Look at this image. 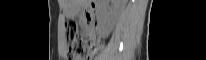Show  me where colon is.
<instances>
[{"label": "colon", "mask_w": 206, "mask_h": 60, "mask_svg": "<svg viewBox=\"0 0 206 60\" xmlns=\"http://www.w3.org/2000/svg\"><path fill=\"white\" fill-rule=\"evenodd\" d=\"M65 30L68 41L67 57L69 60H74L82 48V42L78 36L77 24L73 21L67 22Z\"/></svg>", "instance_id": "1"}]
</instances>
